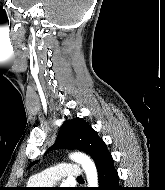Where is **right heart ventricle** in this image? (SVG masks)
Returning <instances> with one entry per match:
<instances>
[{
  "label": "right heart ventricle",
  "instance_id": "obj_1",
  "mask_svg": "<svg viewBox=\"0 0 165 190\" xmlns=\"http://www.w3.org/2000/svg\"><path fill=\"white\" fill-rule=\"evenodd\" d=\"M34 186H36V184H34L32 181L29 182V187H34Z\"/></svg>",
  "mask_w": 165,
  "mask_h": 190
}]
</instances>
